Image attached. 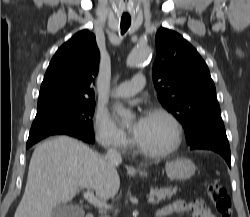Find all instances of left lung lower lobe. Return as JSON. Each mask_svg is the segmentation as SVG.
Wrapping results in <instances>:
<instances>
[{
    "instance_id": "1",
    "label": "left lung lower lobe",
    "mask_w": 250,
    "mask_h": 217,
    "mask_svg": "<svg viewBox=\"0 0 250 217\" xmlns=\"http://www.w3.org/2000/svg\"><path fill=\"white\" fill-rule=\"evenodd\" d=\"M191 149H206L219 153L231 167V153L222 120H214L197 130L187 140Z\"/></svg>"
}]
</instances>
